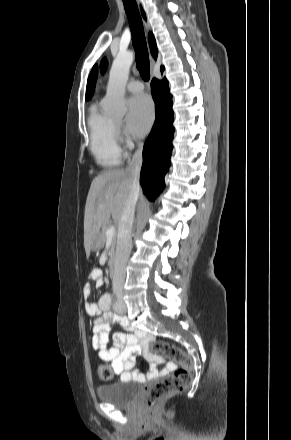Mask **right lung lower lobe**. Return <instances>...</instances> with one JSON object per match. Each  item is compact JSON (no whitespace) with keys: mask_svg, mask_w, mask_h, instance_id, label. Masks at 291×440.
I'll list each match as a JSON object with an SVG mask.
<instances>
[{"mask_svg":"<svg viewBox=\"0 0 291 440\" xmlns=\"http://www.w3.org/2000/svg\"><path fill=\"white\" fill-rule=\"evenodd\" d=\"M163 72V71H162ZM151 91L156 108V119L143 149L140 183L144 194L154 200L165 186L164 176L170 167L174 134L172 96L168 81L153 79Z\"/></svg>","mask_w":291,"mask_h":440,"instance_id":"98d812e1","label":"right lung lower lobe"}]
</instances>
